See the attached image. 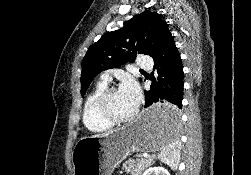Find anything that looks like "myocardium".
I'll list each match as a JSON object with an SVG mask.
<instances>
[{"mask_svg": "<svg viewBox=\"0 0 251 175\" xmlns=\"http://www.w3.org/2000/svg\"><path fill=\"white\" fill-rule=\"evenodd\" d=\"M116 90H118L117 87H114V86L107 87L101 93L97 101V110H98L99 115L112 125L123 123V122H128L132 120L135 116V113H131L128 116H116L110 111L109 98L111 94Z\"/></svg>", "mask_w": 251, "mask_h": 175, "instance_id": "1", "label": "myocardium"}]
</instances>
